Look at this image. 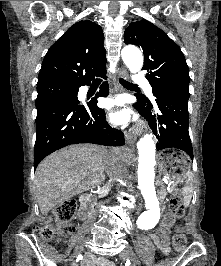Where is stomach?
Here are the masks:
<instances>
[{"label":"stomach","mask_w":221,"mask_h":266,"mask_svg":"<svg viewBox=\"0 0 221 266\" xmlns=\"http://www.w3.org/2000/svg\"><path fill=\"white\" fill-rule=\"evenodd\" d=\"M158 165L161 173L175 182L185 180L191 172L187 156L175 149L161 151L158 155Z\"/></svg>","instance_id":"0dacf381"}]
</instances>
